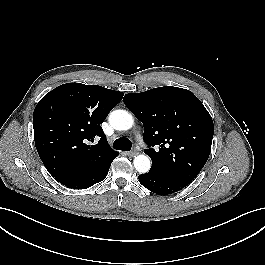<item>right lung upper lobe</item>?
Segmentation results:
<instances>
[{"instance_id":"obj_1","label":"right lung upper lobe","mask_w":265,"mask_h":265,"mask_svg":"<svg viewBox=\"0 0 265 265\" xmlns=\"http://www.w3.org/2000/svg\"><path fill=\"white\" fill-rule=\"evenodd\" d=\"M123 95L98 85L67 83L50 91L36 105L35 146L56 180L101 169L118 156L100 124ZM94 140L98 143L91 145Z\"/></svg>"}]
</instances>
